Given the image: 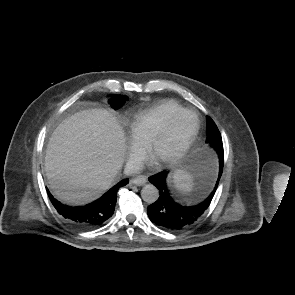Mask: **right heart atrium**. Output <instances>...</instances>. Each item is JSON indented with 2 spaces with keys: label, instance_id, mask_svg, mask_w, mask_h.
Here are the masks:
<instances>
[{
  "label": "right heart atrium",
  "instance_id": "1",
  "mask_svg": "<svg viewBox=\"0 0 295 295\" xmlns=\"http://www.w3.org/2000/svg\"><path fill=\"white\" fill-rule=\"evenodd\" d=\"M145 155V147L131 138L128 147L127 163L130 169L136 170L141 165Z\"/></svg>",
  "mask_w": 295,
  "mask_h": 295
}]
</instances>
